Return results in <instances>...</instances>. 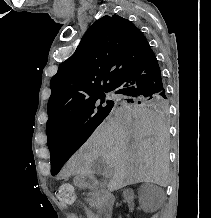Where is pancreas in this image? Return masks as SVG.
Wrapping results in <instances>:
<instances>
[{
    "mask_svg": "<svg viewBox=\"0 0 211 218\" xmlns=\"http://www.w3.org/2000/svg\"><path fill=\"white\" fill-rule=\"evenodd\" d=\"M88 202L91 208H98L100 205L112 204V199H109L108 190H92Z\"/></svg>",
    "mask_w": 211,
    "mask_h": 218,
    "instance_id": "obj_1",
    "label": "pancreas"
}]
</instances>
